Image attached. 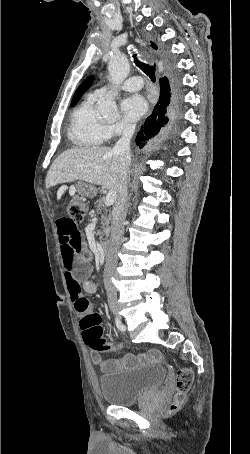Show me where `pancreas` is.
<instances>
[{
    "label": "pancreas",
    "mask_w": 250,
    "mask_h": 454,
    "mask_svg": "<svg viewBox=\"0 0 250 454\" xmlns=\"http://www.w3.org/2000/svg\"><path fill=\"white\" fill-rule=\"evenodd\" d=\"M104 198H100L95 202L96 211L102 215L101 217V225L102 231H98L97 234L99 235V239L102 240L104 237H108L110 233V216H107V209L104 203Z\"/></svg>",
    "instance_id": "pancreas-1"
}]
</instances>
